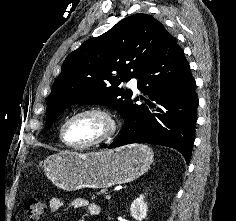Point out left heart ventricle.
<instances>
[{
  "label": "left heart ventricle",
  "instance_id": "1",
  "mask_svg": "<svg viewBox=\"0 0 236 221\" xmlns=\"http://www.w3.org/2000/svg\"><path fill=\"white\" fill-rule=\"evenodd\" d=\"M108 129L105 118L97 114H87L75 118L67 125L65 137L71 144L82 145L101 138Z\"/></svg>",
  "mask_w": 236,
  "mask_h": 221
}]
</instances>
